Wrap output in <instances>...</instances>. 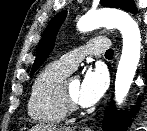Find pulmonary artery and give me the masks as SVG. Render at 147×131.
I'll return each instance as SVG.
<instances>
[{
	"mask_svg": "<svg viewBox=\"0 0 147 131\" xmlns=\"http://www.w3.org/2000/svg\"><path fill=\"white\" fill-rule=\"evenodd\" d=\"M108 47L109 41L106 38H94L85 45L64 54L58 62L71 72L86 55H99Z\"/></svg>",
	"mask_w": 147,
	"mask_h": 131,
	"instance_id": "pulmonary-artery-1",
	"label": "pulmonary artery"
}]
</instances>
